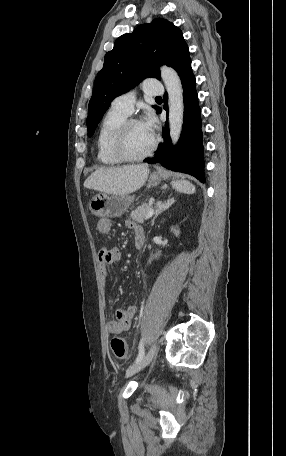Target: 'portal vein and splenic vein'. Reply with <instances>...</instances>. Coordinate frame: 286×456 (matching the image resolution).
<instances>
[{
	"label": "portal vein and splenic vein",
	"mask_w": 286,
	"mask_h": 456,
	"mask_svg": "<svg viewBox=\"0 0 286 456\" xmlns=\"http://www.w3.org/2000/svg\"><path fill=\"white\" fill-rule=\"evenodd\" d=\"M153 214H154V209H150L146 216V219H149Z\"/></svg>",
	"instance_id": "obj_1"
}]
</instances>
